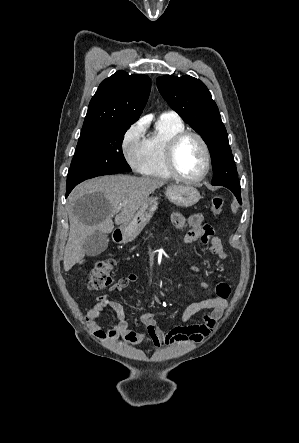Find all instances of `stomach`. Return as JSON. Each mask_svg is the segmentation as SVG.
<instances>
[{"label": "stomach", "instance_id": "stomach-1", "mask_svg": "<svg viewBox=\"0 0 299 443\" xmlns=\"http://www.w3.org/2000/svg\"><path fill=\"white\" fill-rule=\"evenodd\" d=\"M165 195L171 203L182 207L193 206L201 198L199 191L189 185L169 186L166 189ZM158 199L157 196L149 197L138 212L130 220L122 224L120 227L121 242H131L140 234L157 211L159 206Z\"/></svg>", "mask_w": 299, "mask_h": 443}]
</instances>
